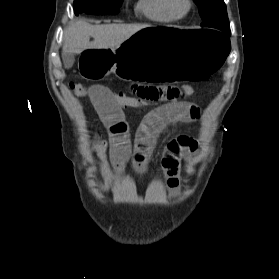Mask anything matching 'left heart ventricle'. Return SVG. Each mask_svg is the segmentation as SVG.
Masks as SVG:
<instances>
[{
  "label": "left heart ventricle",
  "instance_id": "1",
  "mask_svg": "<svg viewBox=\"0 0 279 279\" xmlns=\"http://www.w3.org/2000/svg\"><path fill=\"white\" fill-rule=\"evenodd\" d=\"M180 10H184L186 8V4L183 0L178 4Z\"/></svg>",
  "mask_w": 279,
  "mask_h": 279
}]
</instances>
